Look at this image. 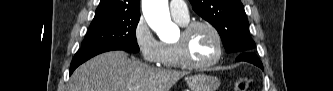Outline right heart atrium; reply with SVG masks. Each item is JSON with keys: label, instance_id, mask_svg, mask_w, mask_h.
<instances>
[{"label": "right heart atrium", "instance_id": "right-heart-atrium-1", "mask_svg": "<svg viewBox=\"0 0 333 91\" xmlns=\"http://www.w3.org/2000/svg\"><path fill=\"white\" fill-rule=\"evenodd\" d=\"M133 39L144 61L151 64H160L162 43L154 36L142 16L134 25Z\"/></svg>", "mask_w": 333, "mask_h": 91}]
</instances>
